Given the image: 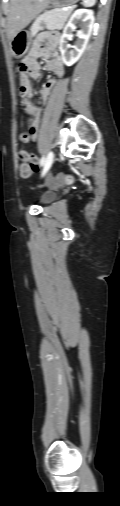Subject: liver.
<instances>
[{
  "label": "liver",
  "instance_id": "liver-1",
  "mask_svg": "<svg viewBox=\"0 0 120 506\" xmlns=\"http://www.w3.org/2000/svg\"><path fill=\"white\" fill-rule=\"evenodd\" d=\"M50 0H10L7 14V36L12 40L38 14L48 7Z\"/></svg>",
  "mask_w": 120,
  "mask_h": 506
}]
</instances>
